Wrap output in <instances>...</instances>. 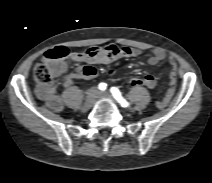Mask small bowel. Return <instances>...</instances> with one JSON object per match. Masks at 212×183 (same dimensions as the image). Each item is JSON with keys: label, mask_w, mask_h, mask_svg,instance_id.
I'll list each match as a JSON object with an SVG mask.
<instances>
[{"label": "small bowel", "mask_w": 212, "mask_h": 183, "mask_svg": "<svg viewBox=\"0 0 212 183\" xmlns=\"http://www.w3.org/2000/svg\"><path fill=\"white\" fill-rule=\"evenodd\" d=\"M141 53V50H137L132 47H119L113 44L104 47H91L83 52H74L70 54L66 60L53 63L51 67L58 74V76H61L67 72L69 66L72 63H87V65L79 68L76 73L65 75L63 79V85L64 87H70L73 84V80L75 78L83 80H91L95 78L97 75V70L95 69L94 65L109 64L123 58L137 57ZM166 58L167 54L165 53V51L159 48L153 49L151 50V56L148 59V63L151 66H155ZM168 59L171 66L169 74V86L163 96L156 101V106L159 109L164 108L168 104L175 92L177 66L173 57L169 56ZM46 61L47 60L44 56L43 62ZM109 74L113 75L115 74V71L110 70ZM144 80L148 88L153 89L156 86V78L154 75L147 74L145 75ZM37 94L53 111L62 110L63 102L57 92V89L54 86L38 87Z\"/></svg>", "instance_id": "c3829d8e"}]
</instances>
